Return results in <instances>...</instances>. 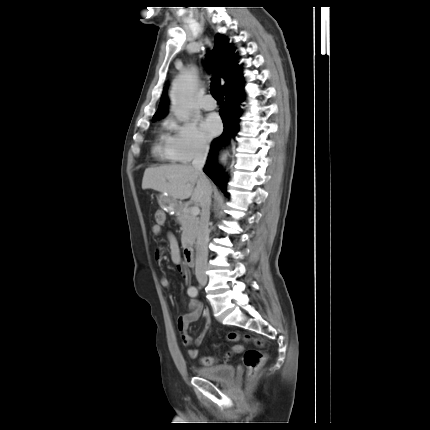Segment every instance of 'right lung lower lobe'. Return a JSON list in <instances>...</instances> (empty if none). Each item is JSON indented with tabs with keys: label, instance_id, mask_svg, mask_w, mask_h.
<instances>
[{
	"label": "right lung lower lobe",
	"instance_id": "1",
	"mask_svg": "<svg viewBox=\"0 0 430 430\" xmlns=\"http://www.w3.org/2000/svg\"><path fill=\"white\" fill-rule=\"evenodd\" d=\"M226 96L225 108L220 110V115L224 123V132L212 142L210 153L205 165L204 172L217 184L223 192H225L224 178L217 166L216 155L221 146L233 134L236 124L239 121L241 109L240 102L243 101V81L233 88L227 89L224 92Z\"/></svg>",
	"mask_w": 430,
	"mask_h": 430
}]
</instances>
